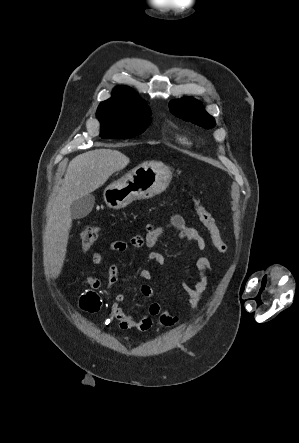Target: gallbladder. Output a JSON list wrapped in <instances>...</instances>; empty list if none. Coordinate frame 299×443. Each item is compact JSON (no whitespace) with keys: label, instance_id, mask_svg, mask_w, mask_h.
<instances>
[{"label":"gallbladder","instance_id":"obj_1","mask_svg":"<svg viewBox=\"0 0 299 443\" xmlns=\"http://www.w3.org/2000/svg\"><path fill=\"white\" fill-rule=\"evenodd\" d=\"M95 197L92 194L85 195L74 200L70 205V214L73 219L86 217L93 209Z\"/></svg>","mask_w":299,"mask_h":443}]
</instances>
